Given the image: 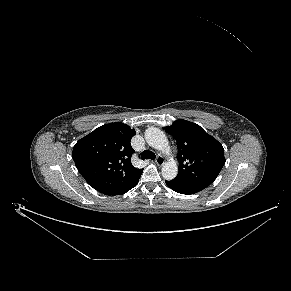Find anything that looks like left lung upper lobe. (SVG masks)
Here are the masks:
<instances>
[{
  "instance_id": "obj_1",
  "label": "left lung upper lobe",
  "mask_w": 291,
  "mask_h": 291,
  "mask_svg": "<svg viewBox=\"0 0 291 291\" xmlns=\"http://www.w3.org/2000/svg\"><path fill=\"white\" fill-rule=\"evenodd\" d=\"M165 131L177 141L179 172L176 179L186 182H213L225 164L224 149L199 125L176 120Z\"/></svg>"
}]
</instances>
